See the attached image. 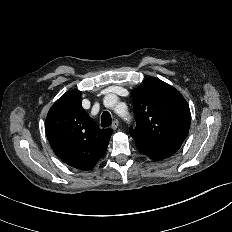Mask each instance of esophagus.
<instances>
[{
	"label": "esophagus",
	"instance_id": "1",
	"mask_svg": "<svg viewBox=\"0 0 232 232\" xmlns=\"http://www.w3.org/2000/svg\"><path fill=\"white\" fill-rule=\"evenodd\" d=\"M118 126H119V121L116 119V120H114L112 122V126L111 127H112L113 130H116Z\"/></svg>",
	"mask_w": 232,
	"mask_h": 232
}]
</instances>
